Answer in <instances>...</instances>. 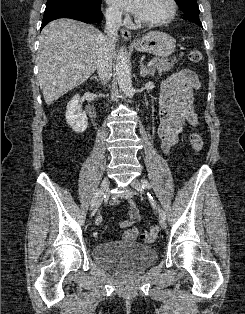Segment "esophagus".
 Masks as SVG:
<instances>
[{"label":"esophagus","instance_id":"esophagus-1","mask_svg":"<svg viewBox=\"0 0 245 314\" xmlns=\"http://www.w3.org/2000/svg\"><path fill=\"white\" fill-rule=\"evenodd\" d=\"M120 33H121L122 37L124 38V40L131 41V33L129 30L122 28V29H120Z\"/></svg>","mask_w":245,"mask_h":314}]
</instances>
